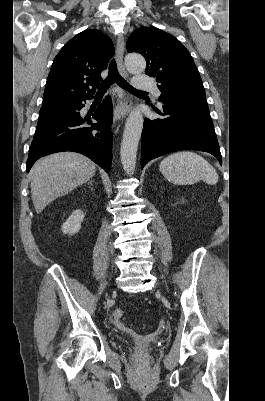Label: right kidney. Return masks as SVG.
Here are the masks:
<instances>
[{"label": "right kidney", "instance_id": "1", "mask_svg": "<svg viewBox=\"0 0 265 401\" xmlns=\"http://www.w3.org/2000/svg\"><path fill=\"white\" fill-rule=\"evenodd\" d=\"M84 213L81 209H77V211H73L72 215H70L69 219H67L66 223H63L61 227V231L63 233H69V235H74V233H78L81 229V223H83Z\"/></svg>", "mask_w": 265, "mask_h": 401}]
</instances>
